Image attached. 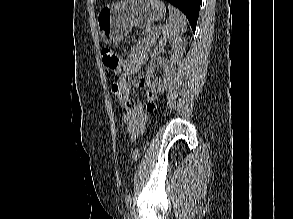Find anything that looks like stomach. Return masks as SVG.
<instances>
[{
  "instance_id": "1",
  "label": "stomach",
  "mask_w": 293,
  "mask_h": 219,
  "mask_svg": "<svg viewBox=\"0 0 293 219\" xmlns=\"http://www.w3.org/2000/svg\"><path fill=\"white\" fill-rule=\"evenodd\" d=\"M161 0H122L103 7L97 14V25L105 43H118L132 28H146L165 16Z\"/></svg>"
}]
</instances>
